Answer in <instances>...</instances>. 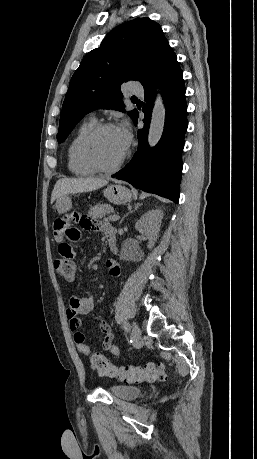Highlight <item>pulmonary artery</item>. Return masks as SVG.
<instances>
[{"instance_id": "1", "label": "pulmonary artery", "mask_w": 257, "mask_h": 459, "mask_svg": "<svg viewBox=\"0 0 257 459\" xmlns=\"http://www.w3.org/2000/svg\"><path fill=\"white\" fill-rule=\"evenodd\" d=\"M130 92H131L132 94L142 95L143 90H142L141 88L132 87V88L130 89Z\"/></svg>"}]
</instances>
